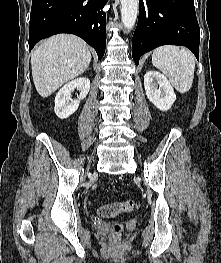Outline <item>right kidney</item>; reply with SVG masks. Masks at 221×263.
Masks as SVG:
<instances>
[{"instance_id": "1", "label": "right kidney", "mask_w": 221, "mask_h": 263, "mask_svg": "<svg viewBox=\"0 0 221 263\" xmlns=\"http://www.w3.org/2000/svg\"><path fill=\"white\" fill-rule=\"evenodd\" d=\"M79 89L80 94L76 100L71 99V92ZM90 89V80L86 77L78 78L64 85L56 94L54 111L58 118L66 119L72 115L79 106Z\"/></svg>"}]
</instances>
